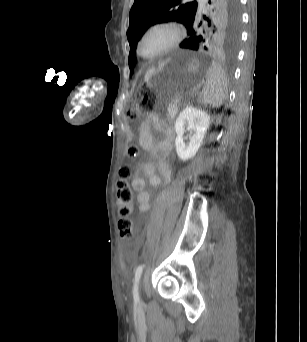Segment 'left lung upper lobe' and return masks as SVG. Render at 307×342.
I'll use <instances>...</instances> for the list:
<instances>
[{
  "label": "left lung upper lobe",
  "instance_id": "1",
  "mask_svg": "<svg viewBox=\"0 0 307 342\" xmlns=\"http://www.w3.org/2000/svg\"><path fill=\"white\" fill-rule=\"evenodd\" d=\"M239 0H212L208 16L201 17L196 0H135L130 13L127 37L130 44L129 67L132 73L139 39L152 25L177 21L187 28L189 37L181 48L223 50L235 53L240 35Z\"/></svg>",
  "mask_w": 307,
  "mask_h": 342
}]
</instances>
